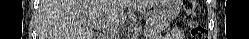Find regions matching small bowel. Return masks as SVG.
I'll use <instances>...</instances> for the list:
<instances>
[{"instance_id": "obj_1", "label": "small bowel", "mask_w": 249, "mask_h": 39, "mask_svg": "<svg viewBox=\"0 0 249 39\" xmlns=\"http://www.w3.org/2000/svg\"><path fill=\"white\" fill-rule=\"evenodd\" d=\"M169 38L177 39L182 36V32L179 29H173L169 34Z\"/></svg>"}]
</instances>
